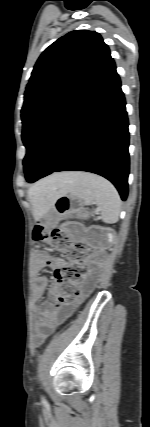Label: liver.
I'll list each match as a JSON object with an SVG mask.
<instances>
[{"instance_id": "liver-1", "label": "liver", "mask_w": 150, "mask_h": 427, "mask_svg": "<svg viewBox=\"0 0 150 427\" xmlns=\"http://www.w3.org/2000/svg\"><path fill=\"white\" fill-rule=\"evenodd\" d=\"M71 173L53 174L34 184L28 191L35 219L40 218L53 204L59 193L67 192V179Z\"/></svg>"}]
</instances>
